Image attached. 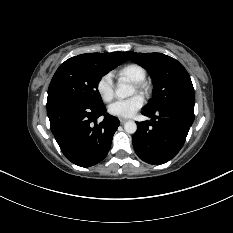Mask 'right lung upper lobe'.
Returning a JSON list of instances; mask_svg holds the SVG:
<instances>
[{
	"instance_id": "right-lung-upper-lobe-1",
	"label": "right lung upper lobe",
	"mask_w": 233,
	"mask_h": 233,
	"mask_svg": "<svg viewBox=\"0 0 233 233\" xmlns=\"http://www.w3.org/2000/svg\"><path fill=\"white\" fill-rule=\"evenodd\" d=\"M90 54H92L94 56H97V57H104V58H110V59H115V60H122L124 62L127 60L124 53H122V52L90 53Z\"/></svg>"
}]
</instances>
